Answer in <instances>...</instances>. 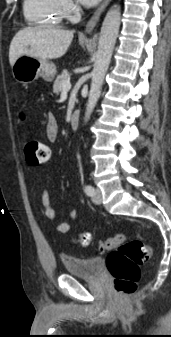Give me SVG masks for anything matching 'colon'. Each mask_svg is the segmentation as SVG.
I'll list each match as a JSON object with an SVG mask.
<instances>
[{"label":"colon","instance_id":"1","mask_svg":"<svg viewBox=\"0 0 171 337\" xmlns=\"http://www.w3.org/2000/svg\"><path fill=\"white\" fill-rule=\"evenodd\" d=\"M24 154L29 165H39L49 160L50 150L43 142L29 139L25 142ZM74 242L81 247H87L91 242V235L81 233L75 237ZM99 249L109 252L106 264L114 279L117 294H132L141 276L140 265L150 257L149 246L137 239L126 241L122 234H118L103 241Z\"/></svg>","mask_w":171,"mask_h":337}]
</instances>
